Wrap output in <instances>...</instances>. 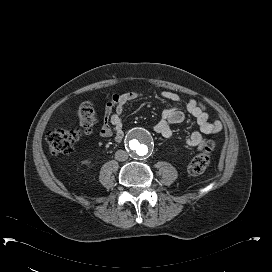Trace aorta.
<instances>
[{"label":"aorta","mask_w":272,"mask_h":272,"mask_svg":"<svg viewBox=\"0 0 272 272\" xmlns=\"http://www.w3.org/2000/svg\"><path fill=\"white\" fill-rule=\"evenodd\" d=\"M153 147V138L144 128L131 130L127 139V149L134 158L146 157Z\"/></svg>","instance_id":"762f6f07"}]
</instances>
